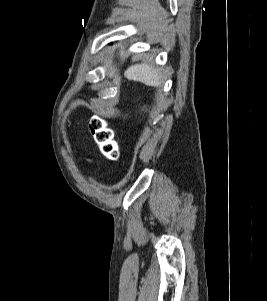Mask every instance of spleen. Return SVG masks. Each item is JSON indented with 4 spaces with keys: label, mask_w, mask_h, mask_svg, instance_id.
I'll return each mask as SVG.
<instances>
[{
    "label": "spleen",
    "mask_w": 267,
    "mask_h": 301,
    "mask_svg": "<svg viewBox=\"0 0 267 301\" xmlns=\"http://www.w3.org/2000/svg\"><path fill=\"white\" fill-rule=\"evenodd\" d=\"M129 80L139 81L147 86L156 87L161 84V75L157 69L147 63L136 64L125 71Z\"/></svg>",
    "instance_id": "1"
}]
</instances>
